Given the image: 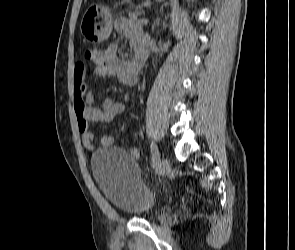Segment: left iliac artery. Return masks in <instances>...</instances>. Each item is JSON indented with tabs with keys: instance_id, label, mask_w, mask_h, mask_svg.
Returning <instances> with one entry per match:
<instances>
[{
	"instance_id": "1",
	"label": "left iliac artery",
	"mask_w": 295,
	"mask_h": 250,
	"mask_svg": "<svg viewBox=\"0 0 295 250\" xmlns=\"http://www.w3.org/2000/svg\"><path fill=\"white\" fill-rule=\"evenodd\" d=\"M150 147H151V152H152V165L151 166L154 168L157 165V161L155 159V156L158 153V149L153 141L151 142Z\"/></svg>"
}]
</instances>
